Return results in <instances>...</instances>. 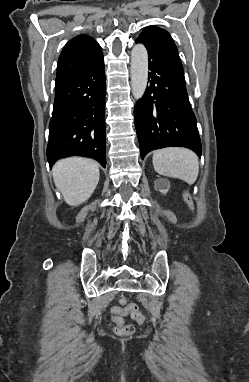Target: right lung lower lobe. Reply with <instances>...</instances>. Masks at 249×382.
<instances>
[{
    "label": "right lung lower lobe",
    "mask_w": 249,
    "mask_h": 382,
    "mask_svg": "<svg viewBox=\"0 0 249 382\" xmlns=\"http://www.w3.org/2000/svg\"><path fill=\"white\" fill-rule=\"evenodd\" d=\"M105 72L103 54L86 70L55 90L47 159L85 156L106 166Z\"/></svg>",
    "instance_id": "obj_1"
}]
</instances>
